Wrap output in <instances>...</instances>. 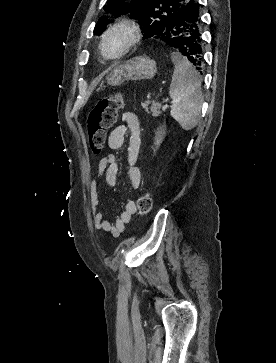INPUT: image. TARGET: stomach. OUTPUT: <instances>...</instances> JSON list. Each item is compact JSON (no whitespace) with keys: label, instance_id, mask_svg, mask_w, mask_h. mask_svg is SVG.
Listing matches in <instances>:
<instances>
[{"label":"stomach","instance_id":"1","mask_svg":"<svg viewBox=\"0 0 276 363\" xmlns=\"http://www.w3.org/2000/svg\"><path fill=\"white\" fill-rule=\"evenodd\" d=\"M157 73V65L148 57H135L113 69L107 77L111 86H119L129 80L152 79Z\"/></svg>","mask_w":276,"mask_h":363}]
</instances>
